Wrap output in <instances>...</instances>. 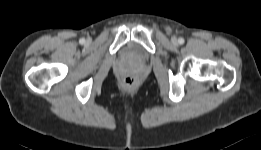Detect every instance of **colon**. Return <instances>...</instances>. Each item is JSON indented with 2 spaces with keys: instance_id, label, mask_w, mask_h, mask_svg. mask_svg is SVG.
Returning <instances> with one entry per match:
<instances>
[{
  "instance_id": "1",
  "label": "colon",
  "mask_w": 261,
  "mask_h": 150,
  "mask_svg": "<svg viewBox=\"0 0 261 150\" xmlns=\"http://www.w3.org/2000/svg\"><path fill=\"white\" fill-rule=\"evenodd\" d=\"M123 85L127 89H133L137 85V80L132 76H128L123 80Z\"/></svg>"
}]
</instances>
